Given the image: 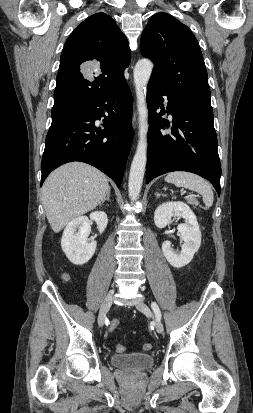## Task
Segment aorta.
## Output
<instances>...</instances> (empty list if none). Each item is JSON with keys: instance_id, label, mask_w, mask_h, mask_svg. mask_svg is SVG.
I'll return each instance as SVG.
<instances>
[{"instance_id": "aorta-1", "label": "aorta", "mask_w": 253, "mask_h": 413, "mask_svg": "<svg viewBox=\"0 0 253 413\" xmlns=\"http://www.w3.org/2000/svg\"><path fill=\"white\" fill-rule=\"evenodd\" d=\"M153 63L149 59L139 60L134 68V84L139 114V140L131 163L128 193L132 201L137 200L141 192L147 162L148 109L146 104V86L151 77Z\"/></svg>"}]
</instances>
